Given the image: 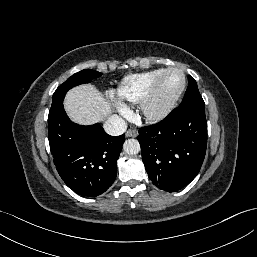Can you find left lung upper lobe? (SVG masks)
<instances>
[{"mask_svg":"<svg viewBox=\"0 0 257 257\" xmlns=\"http://www.w3.org/2000/svg\"><path fill=\"white\" fill-rule=\"evenodd\" d=\"M193 107L205 108V103L200 95L196 81L191 76H188V88L179 108L188 109Z\"/></svg>","mask_w":257,"mask_h":257,"instance_id":"left-lung-upper-lobe-1","label":"left lung upper lobe"}]
</instances>
